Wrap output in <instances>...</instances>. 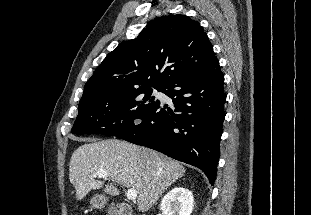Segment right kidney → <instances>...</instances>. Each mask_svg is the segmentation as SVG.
Masks as SVG:
<instances>
[{
    "instance_id": "ca27d5eb",
    "label": "right kidney",
    "mask_w": 311,
    "mask_h": 215,
    "mask_svg": "<svg viewBox=\"0 0 311 215\" xmlns=\"http://www.w3.org/2000/svg\"><path fill=\"white\" fill-rule=\"evenodd\" d=\"M193 194L183 187H175L162 199L160 209L164 215H191L193 210Z\"/></svg>"
}]
</instances>
